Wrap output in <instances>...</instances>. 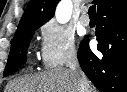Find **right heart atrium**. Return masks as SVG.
<instances>
[{
  "instance_id": "1",
  "label": "right heart atrium",
  "mask_w": 127,
  "mask_h": 92,
  "mask_svg": "<svg viewBox=\"0 0 127 92\" xmlns=\"http://www.w3.org/2000/svg\"><path fill=\"white\" fill-rule=\"evenodd\" d=\"M40 36V60L44 68H60L75 60V38L70 31L50 22L42 26Z\"/></svg>"
}]
</instances>
